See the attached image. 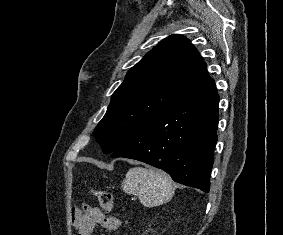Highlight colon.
<instances>
[{
    "mask_svg": "<svg viewBox=\"0 0 283 235\" xmlns=\"http://www.w3.org/2000/svg\"><path fill=\"white\" fill-rule=\"evenodd\" d=\"M91 195L97 198L100 206L106 211L111 212L114 208L113 196L110 192L92 188L90 190Z\"/></svg>",
    "mask_w": 283,
    "mask_h": 235,
    "instance_id": "obj_1",
    "label": "colon"
}]
</instances>
